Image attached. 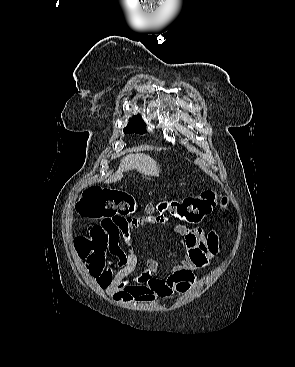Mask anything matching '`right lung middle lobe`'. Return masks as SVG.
I'll return each mask as SVG.
<instances>
[{"instance_id":"obj_1","label":"right lung middle lobe","mask_w":295,"mask_h":367,"mask_svg":"<svg viewBox=\"0 0 295 367\" xmlns=\"http://www.w3.org/2000/svg\"><path fill=\"white\" fill-rule=\"evenodd\" d=\"M124 133H140L146 132V124L140 116H134L129 120L128 125L124 128Z\"/></svg>"}]
</instances>
